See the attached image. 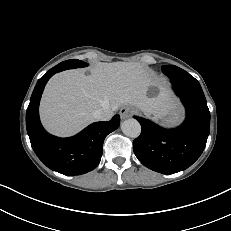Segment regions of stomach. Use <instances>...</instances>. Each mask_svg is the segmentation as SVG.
Instances as JSON below:
<instances>
[{
	"label": "stomach",
	"instance_id": "0dacf381",
	"mask_svg": "<svg viewBox=\"0 0 231 231\" xmlns=\"http://www.w3.org/2000/svg\"><path fill=\"white\" fill-rule=\"evenodd\" d=\"M181 115V109L179 107H173L169 110V112L161 117V121L166 124H174L176 123Z\"/></svg>",
	"mask_w": 231,
	"mask_h": 231
}]
</instances>
